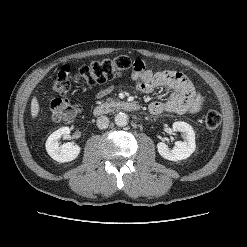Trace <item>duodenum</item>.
Here are the masks:
<instances>
[{
	"instance_id": "duodenum-1",
	"label": "duodenum",
	"mask_w": 247,
	"mask_h": 247,
	"mask_svg": "<svg viewBox=\"0 0 247 247\" xmlns=\"http://www.w3.org/2000/svg\"><path fill=\"white\" fill-rule=\"evenodd\" d=\"M139 109H140V106L136 102L114 101V102H106V103L97 105L94 108L93 113L97 116H100V115L111 113L116 110L136 112Z\"/></svg>"
}]
</instances>
